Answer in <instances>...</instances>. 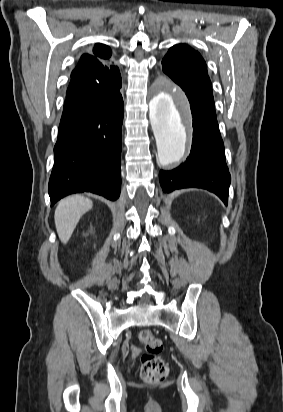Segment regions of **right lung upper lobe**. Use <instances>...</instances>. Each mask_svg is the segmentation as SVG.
<instances>
[{
    "instance_id": "1",
    "label": "right lung upper lobe",
    "mask_w": 283,
    "mask_h": 412,
    "mask_svg": "<svg viewBox=\"0 0 283 412\" xmlns=\"http://www.w3.org/2000/svg\"><path fill=\"white\" fill-rule=\"evenodd\" d=\"M110 56V48L103 44H96L93 54H84L71 74L66 96L94 81L113 84L121 80L119 69Z\"/></svg>"
}]
</instances>
